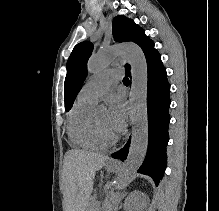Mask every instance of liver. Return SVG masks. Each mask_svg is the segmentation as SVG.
I'll return each mask as SVG.
<instances>
[{
	"label": "liver",
	"instance_id": "obj_1",
	"mask_svg": "<svg viewBox=\"0 0 219 211\" xmlns=\"http://www.w3.org/2000/svg\"><path fill=\"white\" fill-rule=\"evenodd\" d=\"M110 157L83 149H69L64 157V199L66 211H84L93 189L96 171Z\"/></svg>",
	"mask_w": 219,
	"mask_h": 211
}]
</instances>
